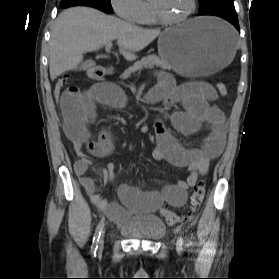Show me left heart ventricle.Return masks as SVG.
<instances>
[{
    "label": "left heart ventricle",
    "instance_id": "1",
    "mask_svg": "<svg viewBox=\"0 0 279 279\" xmlns=\"http://www.w3.org/2000/svg\"><path fill=\"white\" fill-rule=\"evenodd\" d=\"M166 17L178 18L191 6V0H155Z\"/></svg>",
    "mask_w": 279,
    "mask_h": 279
}]
</instances>
